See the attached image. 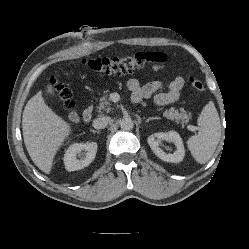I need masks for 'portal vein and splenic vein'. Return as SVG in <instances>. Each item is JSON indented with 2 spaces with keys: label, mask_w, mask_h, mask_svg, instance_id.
<instances>
[{
  "label": "portal vein and splenic vein",
  "mask_w": 249,
  "mask_h": 249,
  "mask_svg": "<svg viewBox=\"0 0 249 249\" xmlns=\"http://www.w3.org/2000/svg\"><path fill=\"white\" fill-rule=\"evenodd\" d=\"M188 129L191 130V131H196V130H197V127L192 126V125H189V126H188Z\"/></svg>",
  "instance_id": "obj_1"
}]
</instances>
